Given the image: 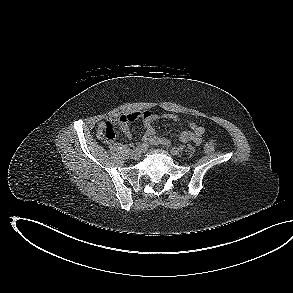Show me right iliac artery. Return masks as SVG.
Instances as JSON below:
<instances>
[{"label": "right iliac artery", "instance_id": "1", "mask_svg": "<svg viewBox=\"0 0 293 293\" xmlns=\"http://www.w3.org/2000/svg\"><path fill=\"white\" fill-rule=\"evenodd\" d=\"M148 147V143L147 142H143L142 144L138 145V148H147Z\"/></svg>", "mask_w": 293, "mask_h": 293}]
</instances>
